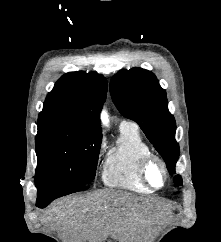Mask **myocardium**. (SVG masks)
Masks as SVG:
<instances>
[{
	"mask_svg": "<svg viewBox=\"0 0 221 242\" xmlns=\"http://www.w3.org/2000/svg\"><path fill=\"white\" fill-rule=\"evenodd\" d=\"M158 164L161 169H162V172H163V175H164V181H163V184L159 187H156L154 186L150 179H149V176H148V170L150 168V166L152 164ZM139 175L142 179V181L152 190H160L162 188H164L168 182V179H169V170H168V166H167V163L165 162V160L157 155V154H154V153H149L147 154L146 156H144L141 161H140V164H139Z\"/></svg>",
	"mask_w": 221,
	"mask_h": 242,
	"instance_id": "obj_1",
	"label": "myocardium"
}]
</instances>
